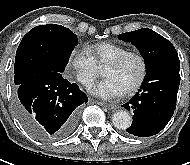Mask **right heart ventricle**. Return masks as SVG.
Returning <instances> with one entry per match:
<instances>
[{
  "instance_id": "obj_1",
  "label": "right heart ventricle",
  "mask_w": 190,
  "mask_h": 165,
  "mask_svg": "<svg viewBox=\"0 0 190 165\" xmlns=\"http://www.w3.org/2000/svg\"><path fill=\"white\" fill-rule=\"evenodd\" d=\"M87 50L98 66L107 64L112 59L128 51V48L114 42H99L88 46Z\"/></svg>"
}]
</instances>
